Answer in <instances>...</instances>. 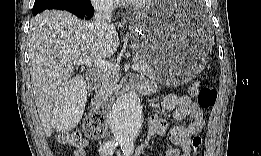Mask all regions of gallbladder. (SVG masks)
Returning <instances> with one entry per match:
<instances>
[{"label": "gallbladder", "mask_w": 261, "mask_h": 156, "mask_svg": "<svg viewBox=\"0 0 261 156\" xmlns=\"http://www.w3.org/2000/svg\"><path fill=\"white\" fill-rule=\"evenodd\" d=\"M82 75H77L74 79L69 80L67 88L61 90L57 103L53 104L50 122L53 128L63 132L76 127L81 121L85 112V103L87 102V89L83 85L85 79Z\"/></svg>", "instance_id": "bac80fb5"}]
</instances>
